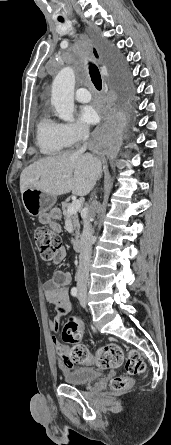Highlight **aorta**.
Here are the masks:
<instances>
[{
    "mask_svg": "<svg viewBox=\"0 0 171 445\" xmlns=\"http://www.w3.org/2000/svg\"><path fill=\"white\" fill-rule=\"evenodd\" d=\"M74 70L67 66L56 75L52 84L51 103L59 119L72 122L74 120Z\"/></svg>",
    "mask_w": 171,
    "mask_h": 445,
    "instance_id": "1",
    "label": "aorta"
}]
</instances>
